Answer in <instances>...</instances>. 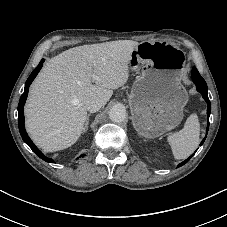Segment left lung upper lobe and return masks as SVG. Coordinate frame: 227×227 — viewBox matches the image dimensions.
Instances as JSON below:
<instances>
[{
    "instance_id": "5c2ea615",
    "label": "left lung upper lobe",
    "mask_w": 227,
    "mask_h": 227,
    "mask_svg": "<svg viewBox=\"0 0 227 227\" xmlns=\"http://www.w3.org/2000/svg\"><path fill=\"white\" fill-rule=\"evenodd\" d=\"M192 75H197L199 78H202L198 72V70L194 67L192 70Z\"/></svg>"
}]
</instances>
